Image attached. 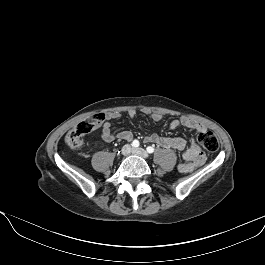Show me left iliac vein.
<instances>
[{
	"instance_id": "obj_1",
	"label": "left iliac vein",
	"mask_w": 265,
	"mask_h": 265,
	"mask_svg": "<svg viewBox=\"0 0 265 265\" xmlns=\"http://www.w3.org/2000/svg\"><path fill=\"white\" fill-rule=\"evenodd\" d=\"M132 153L135 154V155H138L144 159L148 158L149 157V154L142 148H134L132 150Z\"/></svg>"
}]
</instances>
